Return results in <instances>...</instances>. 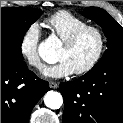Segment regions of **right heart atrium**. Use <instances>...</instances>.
<instances>
[{
  "instance_id": "obj_1",
  "label": "right heart atrium",
  "mask_w": 123,
  "mask_h": 123,
  "mask_svg": "<svg viewBox=\"0 0 123 123\" xmlns=\"http://www.w3.org/2000/svg\"><path fill=\"white\" fill-rule=\"evenodd\" d=\"M41 38L40 28L37 23L29 24L22 33L19 50L26 62L35 69L41 70L44 67L38 52Z\"/></svg>"
}]
</instances>
